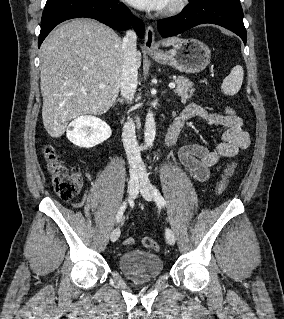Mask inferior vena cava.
Wrapping results in <instances>:
<instances>
[{"label": "inferior vena cava", "instance_id": "obj_1", "mask_svg": "<svg viewBox=\"0 0 284 319\" xmlns=\"http://www.w3.org/2000/svg\"><path fill=\"white\" fill-rule=\"evenodd\" d=\"M137 36L133 30H128L122 41L124 58L122 63L120 90L127 101H132L137 88L138 70L136 65ZM123 146L127 154L130 170L137 172L141 169L140 148L135 135V124L132 120L125 123L122 132Z\"/></svg>", "mask_w": 284, "mask_h": 319}]
</instances>
